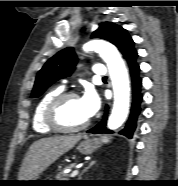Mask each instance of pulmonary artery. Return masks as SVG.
I'll return each mask as SVG.
<instances>
[{"mask_svg": "<svg viewBox=\"0 0 178 186\" xmlns=\"http://www.w3.org/2000/svg\"><path fill=\"white\" fill-rule=\"evenodd\" d=\"M92 71L95 76H105L106 75V68L103 64L93 65Z\"/></svg>", "mask_w": 178, "mask_h": 186, "instance_id": "obj_1", "label": "pulmonary artery"}]
</instances>
